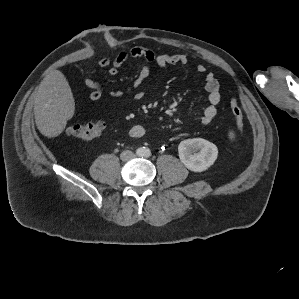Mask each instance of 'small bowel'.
Returning <instances> with one entry per match:
<instances>
[{"instance_id": "obj_1", "label": "small bowel", "mask_w": 299, "mask_h": 299, "mask_svg": "<svg viewBox=\"0 0 299 299\" xmlns=\"http://www.w3.org/2000/svg\"><path fill=\"white\" fill-rule=\"evenodd\" d=\"M129 59H143L146 62L138 71L131 87L128 89V91L135 92L134 98L137 100L142 99L145 95V92L140 90V87L150 76L153 65H156L158 68H164L168 65H185L188 63V57L184 54H156L150 49L136 46L129 52L118 53L114 58L104 57L100 59L99 65L107 69L111 76H115L118 74L122 65ZM197 71L204 75V89L209 103L202 111L201 122L203 125H208L218 114V105L221 101L220 86L215 75L207 71L204 65L199 64ZM84 82L90 89L89 99L91 101L100 100L103 94L101 85L91 76H87ZM109 95L113 98H119L124 95V92L116 90L109 92ZM129 134L133 138H141L145 134V128L140 124H135L130 128Z\"/></svg>"}]
</instances>
